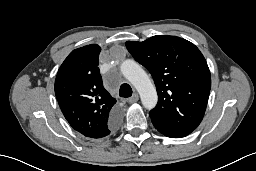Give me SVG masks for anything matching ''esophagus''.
<instances>
[{"mask_svg": "<svg viewBox=\"0 0 256 171\" xmlns=\"http://www.w3.org/2000/svg\"><path fill=\"white\" fill-rule=\"evenodd\" d=\"M138 100H139L138 94L134 93L133 96L128 99V102L132 104V103H136Z\"/></svg>", "mask_w": 256, "mask_h": 171, "instance_id": "1", "label": "esophagus"}]
</instances>
